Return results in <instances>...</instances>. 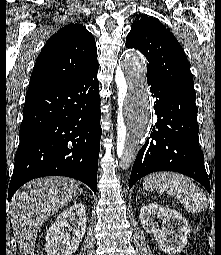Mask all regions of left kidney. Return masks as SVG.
Instances as JSON below:
<instances>
[{"label":"left kidney","instance_id":"1","mask_svg":"<svg viewBox=\"0 0 221 255\" xmlns=\"http://www.w3.org/2000/svg\"><path fill=\"white\" fill-rule=\"evenodd\" d=\"M140 221L143 229L153 234L158 247L169 255L180 253L187 244L190 226L187 219L174 209L155 203L144 205L140 209ZM162 220V228L154 218Z\"/></svg>","mask_w":221,"mask_h":255}]
</instances>
